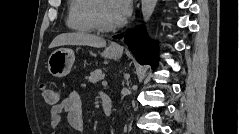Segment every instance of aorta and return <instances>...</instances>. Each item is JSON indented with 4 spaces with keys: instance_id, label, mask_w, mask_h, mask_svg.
Returning <instances> with one entry per match:
<instances>
[{
    "instance_id": "obj_1",
    "label": "aorta",
    "mask_w": 239,
    "mask_h": 134,
    "mask_svg": "<svg viewBox=\"0 0 239 134\" xmlns=\"http://www.w3.org/2000/svg\"><path fill=\"white\" fill-rule=\"evenodd\" d=\"M157 0H142L141 1V11L143 16V21L145 24L150 20L154 9L156 7Z\"/></svg>"
}]
</instances>
